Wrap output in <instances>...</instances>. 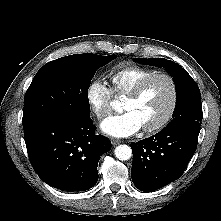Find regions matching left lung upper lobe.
<instances>
[{
	"instance_id": "obj_1",
	"label": "left lung upper lobe",
	"mask_w": 221,
	"mask_h": 221,
	"mask_svg": "<svg viewBox=\"0 0 221 221\" xmlns=\"http://www.w3.org/2000/svg\"><path fill=\"white\" fill-rule=\"evenodd\" d=\"M134 61L163 67L173 76L177 101L173 113L174 118L167 126L185 123L201 125L203 113L200 90L184 68L165 58H134Z\"/></svg>"
}]
</instances>
